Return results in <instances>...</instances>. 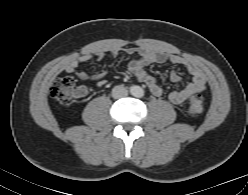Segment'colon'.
Segmentation results:
<instances>
[{"label": "colon", "instance_id": "5ec220e1", "mask_svg": "<svg viewBox=\"0 0 248 195\" xmlns=\"http://www.w3.org/2000/svg\"><path fill=\"white\" fill-rule=\"evenodd\" d=\"M83 92L73 76L57 78L50 87V95L62 106L71 105ZM204 111V100L200 95L191 98L188 105V113L191 116H199Z\"/></svg>", "mask_w": 248, "mask_h": 195}]
</instances>
